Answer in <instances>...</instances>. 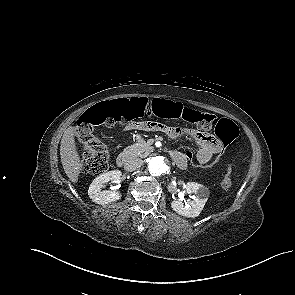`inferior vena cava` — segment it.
<instances>
[{"label": "inferior vena cava", "instance_id": "1", "mask_svg": "<svg viewBox=\"0 0 295 295\" xmlns=\"http://www.w3.org/2000/svg\"><path fill=\"white\" fill-rule=\"evenodd\" d=\"M142 165V160L139 158H130L124 165L126 171L132 172L135 171Z\"/></svg>", "mask_w": 295, "mask_h": 295}]
</instances>
